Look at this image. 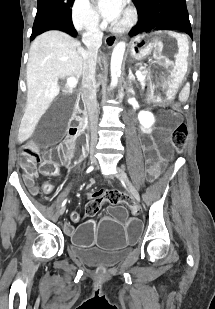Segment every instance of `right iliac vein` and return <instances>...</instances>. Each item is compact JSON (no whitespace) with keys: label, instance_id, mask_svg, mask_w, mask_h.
I'll return each mask as SVG.
<instances>
[{"label":"right iliac vein","instance_id":"1","mask_svg":"<svg viewBox=\"0 0 215 309\" xmlns=\"http://www.w3.org/2000/svg\"><path fill=\"white\" fill-rule=\"evenodd\" d=\"M95 162H96V159L94 158L93 155H91V156H90V163H91V164H94ZM64 211H65V206H63V207L60 209L59 215H62V214L64 213Z\"/></svg>","mask_w":215,"mask_h":309}]
</instances>
